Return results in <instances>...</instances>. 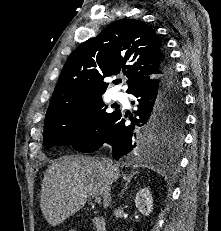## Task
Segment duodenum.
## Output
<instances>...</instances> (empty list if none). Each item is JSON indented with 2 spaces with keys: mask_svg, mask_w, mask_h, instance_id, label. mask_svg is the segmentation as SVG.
Returning a JSON list of instances; mask_svg holds the SVG:
<instances>
[{
  "mask_svg": "<svg viewBox=\"0 0 221 231\" xmlns=\"http://www.w3.org/2000/svg\"><path fill=\"white\" fill-rule=\"evenodd\" d=\"M97 231H106V228H105V221L103 218L101 217H94L92 219Z\"/></svg>",
  "mask_w": 221,
  "mask_h": 231,
  "instance_id": "obj_1",
  "label": "duodenum"
}]
</instances>
